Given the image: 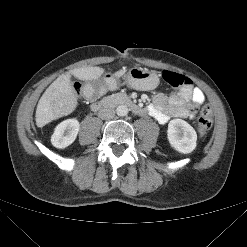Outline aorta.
Listing matches in <instances>:
<instances>
[{
  "label": "aorta",
  "instance_id": "762f6f07",
  "mask_svg": "<svg viewBox=\"0 0 247 247\" xmlns=\"http://www.w3.org/2000/svg\"><path fill=\"white\" fill-rule=\"evenodd\" d=\"M129 112V109L126 105H119L116 109L118 116H126Z\"/></svg>",
  "mask_w": 247,
  "mask_h": 247
}]
</instances>
